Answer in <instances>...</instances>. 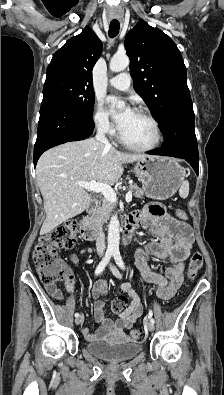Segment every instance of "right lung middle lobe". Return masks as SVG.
I'll return each mask as SVG.
<instances>
[{
    "instance_id": "right-lung-middle-lobe-1",
    "label": "right lung middle lobe",
    "mask_w": 224,
    "mask_h": 395,
    "mask_svg": "<svg viewBox=\"0 0 224 395\" xmlns=\"http://www.w3.org/2000/svg\"><path fill=\"white\" fill-rule=\"evenodd\" d=\"M43 99L54 100L77 112L92 115L95 93L91 84L53 75L46 77Z\"/></svg>"
}]
</instances>
